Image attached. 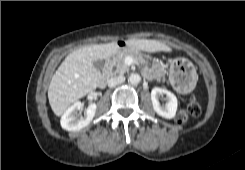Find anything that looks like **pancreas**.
I'll list each match as a JSON object with an SVG mask.
<instances>
[{
  "label": "pancreas",
  "mask_w": 245,
  "mask_h": 170,
  "mask_svg": "<svg viewBox=\"0 0 245 170\" xmlns=\"http://www.w3.org/2000/svg\"><path fill=\"white\" fill-rule=\"evenodd\" d=\"M126 57H131L137 64L143 65L148 70L149 75L156 78L158 82H164L166 80L165 73L159 64L154 63L150 66L141 54L133 50H124L117 54L114 58V74L122 75L129 71V67L125 64Z\"/></svg>",
  "instance_id": "cf45deb5"
}]
</instances>
